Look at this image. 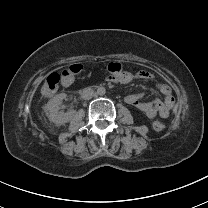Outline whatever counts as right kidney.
<instances>
[{
  "label": "right kidney",
  "mask_w": 208,
  "mask_h": 208,
  "mask_svg": "<svg viewBox=\"0 0 208 208\" xmlns=\"http://www.w3.org/2000/svg\"><path fill=\"white\" fill-rule=\"evenodd\" d=\"M65 98H67V94L59 93L50 99L46 105L49 120L57 125L65 124L71 120V116L60 111L61 101Z\"/></svg>",
  "instance_id": "1"
}]
</instances>
